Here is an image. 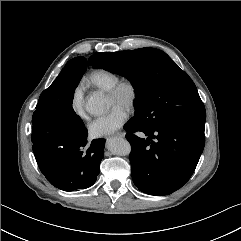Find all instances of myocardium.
Wrapping results in <instances>:
<instances>
[{
  "mask_svg": "<svg viewBox=\"0 0 241 241\" xmlns=\"http://www.w3.org/2000/svg\"><path fill=\"white\" fill-rule=\"evenodd\" d=\"M124 90H128L130 98L127 103L126 109L133 110L138 104L140 97V90L138 84L132 79L119 80L110 90H108V96L117 98Z\"/></svg>",
  "mask_w": 241,
  "mask_h": 241,
  "instance_id": "myocardium-1",
  "label": "myocardium"
}]
</instances>
